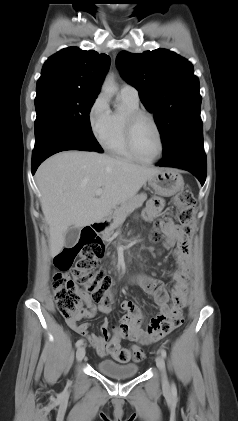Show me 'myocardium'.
Listing matches in <instances>:
<instances>
[{
  "label": "myocardium",
  "mask_w": 238,
  "mask_h": 421,
  "mask_svg": "<svg viewBox=\"0 0 238 421\" xmlns=\"http://www.w3.org/2000/svg\"><path fill=\"white\" fill-rule=\"evenodd\" d=\"M141 118L148 119L152 123V125L154 126L157 132L158 141H159V151L157 155L152 159L142 158L135 149L134 129L137 122ZM124 131H125V140H126L127 147L137 161L145 163V164H153L162 156L163 151H164V141H163L162 131L160 129L159 124L157 123L156 119L153 117L152 114L140 109L128 112L125 115Z\"/></svg>",
  "instance_id": "f54148a6"
}]
</instances>
